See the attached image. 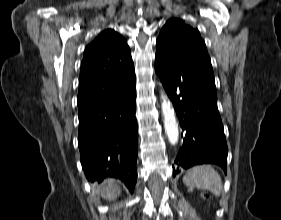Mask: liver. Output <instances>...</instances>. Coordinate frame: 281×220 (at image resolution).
<instances>
[{
  "instance_id": "1",
  "label": "liver",
  "mask_w": 281,
  "mask_h": 220,
  "mask_svg": "<svg viewBox=\"0 0 281 220\" xmlns=\"http://www.w3.org/2000/svg\"><path fill=\"white\" fill-rule=\"evenodd\" d=\"M97 190L101 192L102 197L108 201L116 199L121 193L118 183L114 179L105 180L97 187Z\"/></svg>"
}]
</instances>
